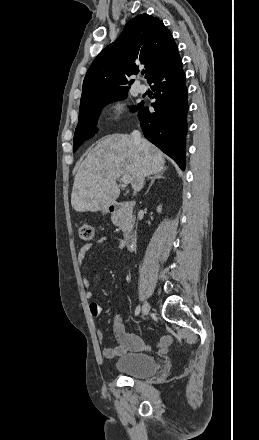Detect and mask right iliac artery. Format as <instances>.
<instances>
[{
  "label": "right iliac artery",
  "instance_id": "obj_1",
  "mask_svg": "<svg viewBox=\"0 0 259 440\" xmlns=\"http://www.w3.org/2000/svg\"><path fill=\"white\" fill-rule=\"evenodd\" d=\"M140 310H141V308H140V306L138 305V306L136 307V309H135V315H136V316L139 315Z\"/></svg>",
  "mask_w": 259,
  "mask_h": 440
}]
</instances>
